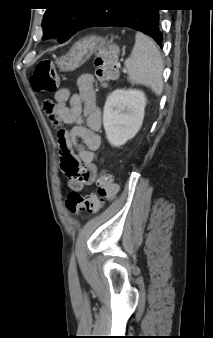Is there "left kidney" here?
Returning <instances> with one entry per match:
<instances>
[{"mask_svg":"<svg viewBox=\"0 0 213 338\" xmlns=\"http://www.w3.org/2000/svg\"><path fill=\"white\" fill-rule=\"evenodd\" d=\"M146 102L144 92L138 89H117L107 97L103 126L112 146L120 147L138 133Z\"/></svg>","mask_w":213,"mask_h":338,"instance_id":"obj_1","label":"left kidney"}]
</instances>
